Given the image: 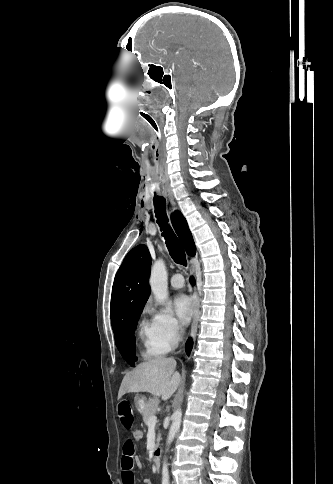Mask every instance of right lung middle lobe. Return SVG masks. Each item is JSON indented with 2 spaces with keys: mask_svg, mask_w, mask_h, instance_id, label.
Instances as JSON below:
<instances>
[{
  "mask_svg": "<svg viewBox=\"0 0 333 484\" xmlns=\"http://www.w3.org/2000/svg\"><path fill=\"white\" fill-rule=\"evenodd\" d=\"M140 314L141 311L131 313L114 333L117 348L131 366L137 361L134 330Z\"/></svg>",
  "mask_w": 333,
  "mask_h": 484,
  "instance_id": "obj_1",
  "label": "right lung middle lobe"
}]
</instances>
